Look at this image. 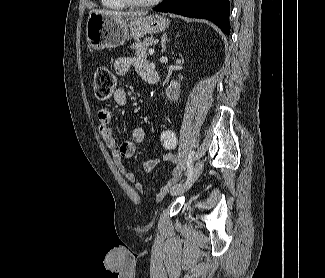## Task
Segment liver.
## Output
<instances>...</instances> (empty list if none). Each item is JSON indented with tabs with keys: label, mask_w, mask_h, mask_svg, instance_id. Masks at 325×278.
<instances>
[{
	"label": "liver",
	"mask_w": 325,
	"mask_h": 278,
	"mask_svg": "<svg viewBox=\"0 0 325 278\" xmlns=\"http://www.w3.org/2000/svg\"><path fill=\"white\" fill-rule=\"evenodd\" d=\"M92 12H97L103 15L112 16L116 18H121L124 16L137 17V16H144L147 14V12H119V11L98 10V9H93L90 11V13Z\"/></svg>",
	"instance_id": "6515ba94"
}]
</instances>
